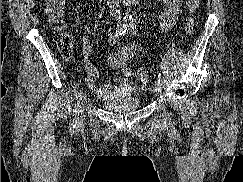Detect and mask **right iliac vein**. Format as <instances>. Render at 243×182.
<instances>
[{
  "label": "right iliac vein",
  "mask_w": 243,
  "mask_h": 182,
  "mask_svg": "<svg viewBox=\"0 0 243 182\" xmlns=\"http://www.w3.org/2000/svg\"><path fill=\"white\" fill-rule=\"evenodd\" d=\"M85 93L83 91L80 92L78 101H77V106L75 110V121H76V126L80 127L83 123V105L85 103Z\"/></svg>",
  "instance_id": "right-iliac-vein-1"
}]
</instances>
